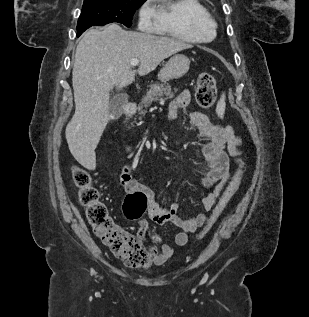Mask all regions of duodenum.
Wrapping results in <instances>:
<instances>
[{
	"label": "duodenum",
	"mask_w": 309,
	"mask_h": 317,
	"mask_svg": "<svg viewBox=\"0 0 309 317\" xmlns=\"http://www.w3.org/2000/svg\"><path fill=\"white\" fill-rule=\"evenodd\" d=\"M135 109H136L135 104L133 103L127 104L123 109V116L125 118L132 117L134 115Z\"/></svg>",
	"instance_id": "410a0bca"
}]
</instances>
